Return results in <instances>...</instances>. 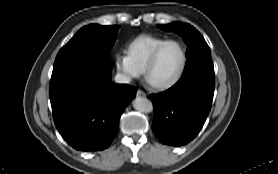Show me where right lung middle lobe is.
<instances>
[{
  "instance_id": "right-lung-middle-lobe-1",
  "label": "right lung middle lobe",
  "mask_w": 278,
  "mask_h": 174,
  "mask_svg": "<svg viewBox=\"0 0 278 174\" xmlns=\"http://www.w3.org/2000/svg\"><path fill=\"white\" fill-rule=\"evenodd\" d=\"M119 26L90 24L81 28L58 52L53 73L70 66L111 72L110 50L113 47Z\"/></svg>"
}]
</instances>
